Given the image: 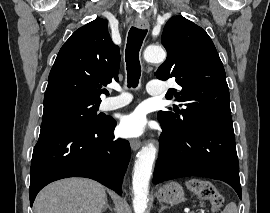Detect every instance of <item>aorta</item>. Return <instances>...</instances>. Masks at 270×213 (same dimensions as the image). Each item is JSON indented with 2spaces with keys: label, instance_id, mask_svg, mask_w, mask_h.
<instances>
[{
  "label": "aorta",
  "instance_id": "obj_1",
  "mask_svg": "<svg viewBox=\"0 0 270 213\" xmlns=\"http://www.w3.org/2000/svg\"><path fill=\"white\" fill-rule=\"evenodd\" d=\"M166 58L165 51L159 46H149L144 51V59L150 63H160ZM157 148L148 143L139 151L134 164L133 209L135 213H145L149 194V181Z\"/></svg>",
  "mask_w": 270,
  "mask_h": 213
}]
</instances>
